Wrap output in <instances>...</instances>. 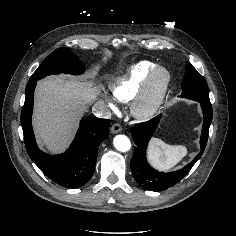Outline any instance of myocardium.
<instances>
[{
    "label": "myocardium",
    "mask_w": 236,
    "mask_h": 236,
    "mask_svg": "<svg viewBox=\"0 0 236 236\" xmlns=\"http://www.w3.org/2000/svg\"><path fill=\"white\" fill-rule=\"evenodd\" d=\"M162 77L158 89H154L156 80ZM171 83L170 72L157 66L147 76L140 90L131 102V114L138 120H148L153 117L161 107Z\"/></svg>",
    "instance_id": "obj_1"
}]
</instances>
